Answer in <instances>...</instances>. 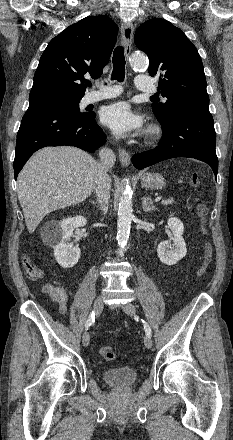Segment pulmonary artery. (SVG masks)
<instances>
[{
	"instance_id": "pulmonary-artery-1",
	"label": "pulmonary artery",
	"mask_w": 233,
	"mask_h": 440,
	"mask_svg": "<svg viewBox=\"0 0 233 440\" xmlns=\"http://www.w3.org/2000/svg\"><path fill=\"white\" fill-rule=\"evenodd\" d=\"M135 86L138 90L143 92H153L155 87L149 81V77L146 75H138L135 78ZM120 89L118 87H106L99 92H91L87 95V102L94 103L104 99H109L119 95Z\"/></svg>"
}]
</instances>
